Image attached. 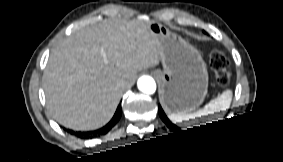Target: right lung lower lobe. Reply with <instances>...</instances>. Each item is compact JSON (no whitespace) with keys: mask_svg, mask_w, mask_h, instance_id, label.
<instances>
[{"mask_svg":"<svg viewBox=\"0 0 283 162\" xmlns=\"http://www.w3.org/2000/svg\"><path fill=\"white\" fill-rule=\"evenodd\" d=\"M121 114H122V110H121V107L118 106L116 112H115V115L114 117L112 118V120L103 128L99 131V133H103V131H105V133L107 131H109L110 129H112V127L117 123V121L120 119L121 117Z\"/></svg>","mask_w":283,"mask_h":162,"instance_id":"1","label":"right lung lower lobe"}]
</instances>
